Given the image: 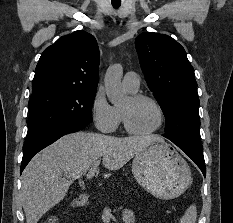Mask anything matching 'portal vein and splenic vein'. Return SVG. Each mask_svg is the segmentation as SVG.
I'll use <instances>...</instances> for the list:
<instances>
[{
    "label": "portal vein and splenic vein",
    "mask_w": 233,
    "mask_h": 223,
    "mask_svg": "<svg viewBox=\"0 0 233 223\" xmlns=\"http://www.w3.org/2000/svg\"><path fill=\"white\" fill-rule=\"evenodd\" d=\"M99 163H93L92 167L90 169H97ZM94 173L92 171H88L87 173V179H90V177H93Z\"/></svg>",
    "instance_id": "obj_1"
}]
</instances>
